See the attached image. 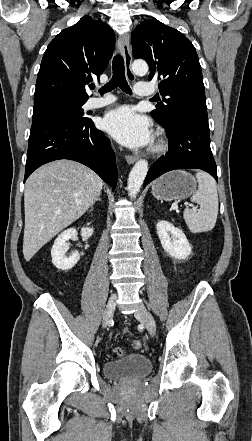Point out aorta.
Returning a JSON list of instances; mask_svg holds the SVG:
<instances>
[{
  "instance_id": "762f6f07",
  "label": "aorta",
  "mask_w": 252,
  "mask_h": 441,
  "mask_svg": "<svg viewBox=\"0 0 252 441\" xmlns=\"http://www.w3.org/2000/svg\"><path fill=\"white\" fill-rule=\"evenodd\" d=\"M132 70L137 75H145L148 65L143 60H136L132 64ZM148 172V162L139 160L132 168L128 177V195L131 199L136 198Z\"/></svg>"
}]
</instances>
